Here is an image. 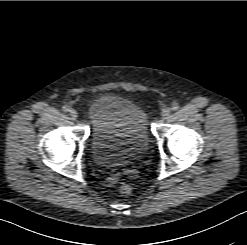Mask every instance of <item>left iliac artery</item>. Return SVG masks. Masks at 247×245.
Masks as SVG:
<instances>
[{
    "instance_id": "1",
    "label": "left iliac artery",
    "mask_w": 247,
    "mask_h": 245,
    "mask_svg": "<svg viewBox=\"0 0 247 245\" xmlns=\"http://www.w3.org/2000/svg\"><path fill=\"white\" fill-rule=\"evenodd\" d=\"M171 109H172L173 111L178 110V109H179V104H178V103H173Z\"/></svg>"
}]
</instances>
